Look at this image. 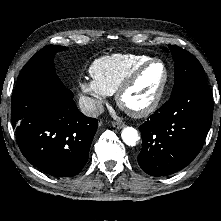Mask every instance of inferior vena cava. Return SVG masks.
<instances>
[{"label": "inferior vena cava", "instance_id": "inferior-vena-cava-1", "mask_svg": "<svg viewBox=\"0 0 221 221\" xmlns=\"http://www.w3.org/2000/svg\"><path fill=\"white\" fill-rule=\"evenodd\" d=\"M79 106L81 112L90 117L99 116L104 112V107L100 102L87 96L80 97Z\"/></svg>", "mask_w": 221, "mask_h": 221}]
</instances>
